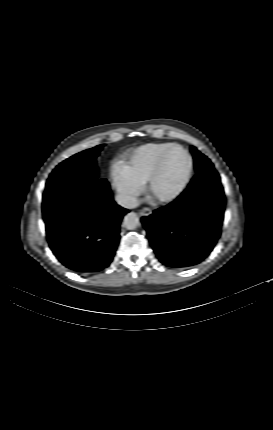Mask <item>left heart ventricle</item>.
Returning a JSON list of instances; mask_svg holds the SVG:
<instances>
[{
    "label": "left heart ventricle",
    "mask_w": 273,
    "mask_h": 430,
    "mask_svg": "<svg viewBox=\"0 0 273 430\" xmlns=\"http://www.w3.org/2000/svg\"><path fill=\"white\" fill-rule=\"evenodd\" d=\"M188 168V161L184 154L172 150L166 157L162 171L155 185L157 195H167L173 192L183 180Z\"/></svg>",
    "instance_id": "b2bd125f"
}]
</instances>
